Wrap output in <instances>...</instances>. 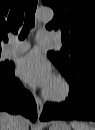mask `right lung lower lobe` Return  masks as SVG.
<instances>
[{
    "label": "right lung lower lobe",
    "mask_w": 95,
    "mask_h": 130,
    "mask_svg": "<svg viewBox=\"0 0 95 130\" xmlns=\"http://www.w3.org/2000/svg\"><path fill=\"white\" fill-rule=\"evenodd\" d=\"M14 65L0 73V110L12 114L21 113L32 122L37 119V107L33 96L14 76Z\"/></svg>",
    "instance_id": "98d812e1"
}]
</instances>
